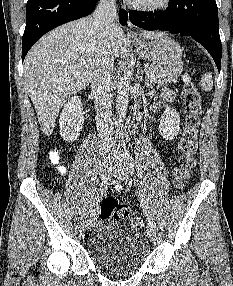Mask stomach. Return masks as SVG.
Returning <instances> with one entry per match:
<instances>
[{
	"label": "stomach",
	"instance_id": "obj_1",
	"mask_svg": "<svg viewBox=\"0 0 233 286\" xmlns=\"http://www.w3.org/2000/svg\"><path fill=\"white\" fill-rule=\"evenodd\" d=\"M135 46L140 57L151 61L153 65L181 69L182 49L166 34L151 42L135 41Z\"/></svg>",
	"mask_w": 233,
	"mask_h": 286
}]
</instances>
